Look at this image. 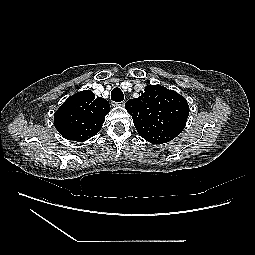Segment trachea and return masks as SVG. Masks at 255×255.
Segmentation results:
<instances>
[{"label": "trachea", "instance_id": "1", "mask_svg": "<svg viewBox=\"0 0 255 255\" xmlns=\"http://www.w3.org/2000/svg\"><path fill=\"white\" fill-rule=\"evenodd\" d=\"M111 99L115 102H121L124 100L123 92L120 88L116 87L111 92Z\"/></svg>", "mask_w": 255, "mask_h": 255}]
</instances>
